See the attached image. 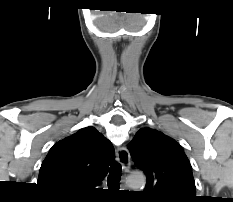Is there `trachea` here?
Listing matches in <instances>:
<instances>
[{
  "mask_svg": "<svg viewBox=\"0 0 233 202\" xmlns=\"http://www.w3.org/2000/svg\"><path fill=\"white\" fill-rule=\"evenodd\" d=\"M121 179V166L117 162H113L110 166L107 183L108 187L117 188Z\"/></svg>",
  "mask_w": 233,
  "mask_h": 202,
  "instance_id": "1",
  "label": "trachea"
}]
</instances>
